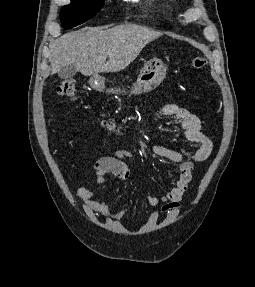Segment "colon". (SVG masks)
<instances>
[{"label": "colon", "mask_w": 255, "mask_h": 287, "mask_svg": "<svg viewBox=\"0 0 255 287\" xmlns=\"http://www.w3.org/2000/svg\"><path fill=\"white\" fill-rule=\"evenodd\" d=\"M207 65V60L204 57L197 56L191 60V66L200 70ZM57 93L61 96L67 97L69 99H75L77 97V88L74 79L64 78L57 86ZM108 129H111L110 124H105Z\"/></svg>", "instance_id": "5ec220e1"}]
</instances>
